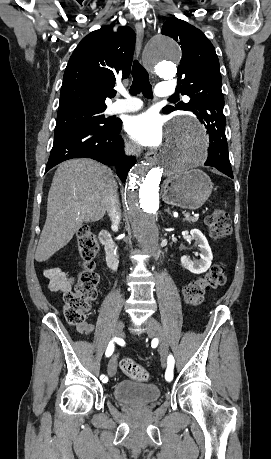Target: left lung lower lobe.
Masks as SVG:
<instances>
[{"label": "left lung lower lobe", "instance_id": "left-lung-lower-lobe-1", "mask_svg": "<svg viewBox=\"0 0 271 459\" xmlns=\"http://www.w3.org/2000/svg\"><path fill=\"white\" fill-rule=\"evenodd\" d=\"M209 133L210 146L205 165L213 166L219 171L233 178L231 164L228 155V144L225 136L226 119L213 117L200 120Z\"/></svg>", "mask_w": 271, "mask_h": 459}]
</instances>
